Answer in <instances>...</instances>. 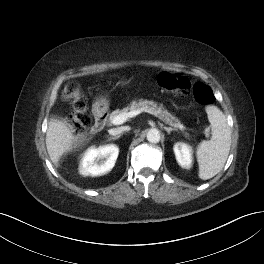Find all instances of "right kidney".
<instances>
[{
    "mask_svg": "<svg viewBox=\"0 0 264 264\" xmlns=\"http://www.w3.org/2000/svg\"><path fill=\"white\" fill-rule=\"evenodd\" d=\"M119 154V148L114 144L91 147L83 155L79 172L83 176H98L112 170Z\"/></svg>",
    "mask_w": 264,
    "mask_h": 264,
    "instance_id": "ca27d5eb",
    "label": "right kidney"
}]
</instances>
